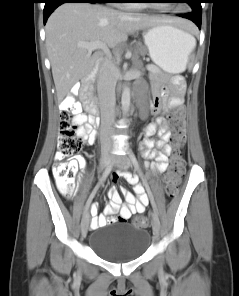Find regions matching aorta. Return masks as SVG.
Returning a JSON list of instances; mask_svg holds the SVG:
<instances>
[{
  "mask_svg": "<svg viewBox=\"0 0 239 296\" xmlns=\"http://www.w3.org/2000/svg\"><path fill=\"white\" fill-rule=\"evenodd\" d=\"M122 110L125 117L128 116V111L130 107V89L128 86L123 88L122 98H121Z\"/></svg>",
  "mask_w": 239,
  "mask_h": 296,
  "instance_id": "aorta-1",
  "label": "aorta"
}]
</instances>
